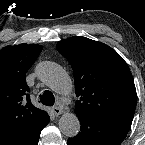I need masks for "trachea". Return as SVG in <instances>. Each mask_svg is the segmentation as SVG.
Masks as SVG:
<instances>
[{"mask_svg":"<svg viewBox=\"0 0 145 145\" xmlns=\"http://www.w3.org/2000/svg\"><path fill=\"white\" fill-rule=\"evenodd\" d=\"M39 100L46 106H53L55 98L51 91L46 90L39 96Z\"/></svg>","mask_w":145,"mask_h":145,"instance_id":"1","label":"trachea"}]
</instances>
